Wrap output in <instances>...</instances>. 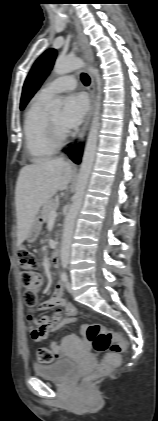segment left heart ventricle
Returning <instances> with one entry per match:
<instances>
[{
    "instance_id": "left-heart-ventricle-1",
    "label": "left heart ventricle",
    "mask_w": 158,
    "mask_h": 421,
    "mask_svg": "<svg viewBox=\"0 0 158 421\" xmlns=\"http://www.w3.org/2000/svg\"><path fill=\"white\" fill-rule=\"evenodd\" d=\"M50 117H51V119L54 121V123L58 126V128H59L60 130H64V129L62 128V126H61V123H60V119H61V112L57 111V112L51 113V114H50Z\"/></svg>"
}]
</instances>
